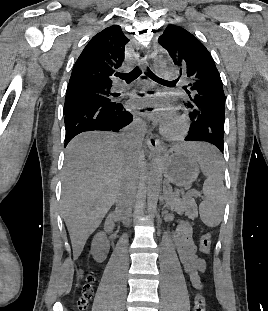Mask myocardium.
I'll return each mask as SVG.
<instances>
[{
	"instance_id": "myocardium-1",
	"label": "myocardium",
	"mask_w": 268,
	"mask_h": 311,
	"mask_svg": "<svg viewBox=\"0 0 268 311\" xmlns=\"http://www.w3.org/2000/svg\"><path fill=\"white\" fill-rule=\"evenodd\" d=\"M174 128L163 125L160 128L161 134L169 140L180 141L188 132V120L185 115L177 116L174 121Z\"/></svg>"
}]
</instances>
